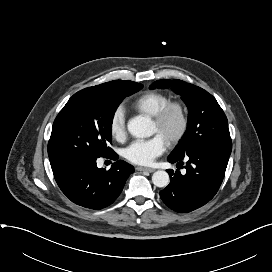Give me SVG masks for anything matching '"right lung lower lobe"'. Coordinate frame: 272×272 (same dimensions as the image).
<instances>
[{
    "mask_svg": "<svg viewBox=\"0 0 272 272\" xmlns=\"http://www.w3.org/2000/svg\"><path fill=\"white\" fill-rule=\"evenodd\" d=\"M111 159H118L114 152ZM99 157L65 158L51 164L54 178L61 191L73 203L90 209H102L120 195L133 166L117 160L109 170L97 168Z\"/></svg>",
    "mask_w": 272,
    "mask_h": 272,
    "instance_id": "98d812e1",
    "label": "right lung lower lobe"
}]
</instances>
